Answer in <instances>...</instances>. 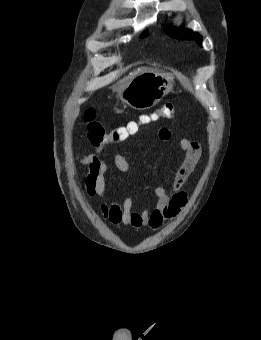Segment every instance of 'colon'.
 <instances>
[{
  "mask_svg": "<svg viewBox=\"0 0 261 340\" xmlns=\"http://www.w3.org/2000/svg\"><path fill=\"white\" fill-rule=\"evenodd\" d=\"M175 115V106L172 103H165L152 115H144L139 121H133L132 126L128 123L125 126L116 127L108 132L100 122L95 120L96 114L94 109L88 108L84 112V118L87 122V138L94 146H99L106 141H110L111 143L122 142L135 134L138 131L140 124L158 119L170 120L173 119Z\"/></svg>",
  "mask_w": 261,
  "mask_h": 340,
  "instance_id": "5ec220e1",
  "label": "colon"
}]
</instances>
